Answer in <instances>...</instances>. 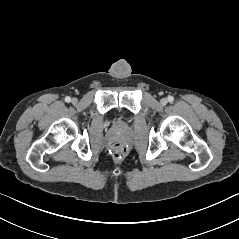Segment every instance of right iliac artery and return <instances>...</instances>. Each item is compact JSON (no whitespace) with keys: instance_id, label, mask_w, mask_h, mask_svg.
Masks as SVG:
<instances>
[{"instance_id":"obj_1","label":"right iliac artery","mask_w":239,"mask_h":239,"mask_svg":"<svg viewBox=\"0 0 239 239\" xmlns=\"http://www.w3.org/2000/svg\"><path fill=\"white\" fill-rule=\"evenodd\" d=\"M65 101L69 103L71 101V98L69 96L65 97Z\"/></svg>"}]
</instances>
